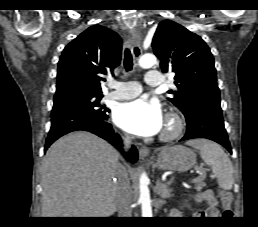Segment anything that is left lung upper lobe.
Masks as SVG:
<instances>
[{"instance_id":"1","label":"left lung upper lobe","mask_w":258,"mask_h":227,"mask_svg":"<svg viewBox=\"0 0 258 227\" xmlns=\"http://www.w3.org/2000/svg\"><path fill=\"white\" fill-rule=\"evenodd\" d=\"M154 54L164 73H175L177 90L169 100L192 119L202 108H220L214 59L202 38L171 20L160 22L153 38Z\"/></svg>"}]
</instances>
